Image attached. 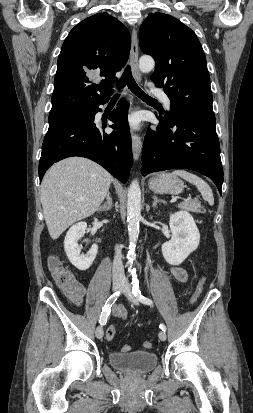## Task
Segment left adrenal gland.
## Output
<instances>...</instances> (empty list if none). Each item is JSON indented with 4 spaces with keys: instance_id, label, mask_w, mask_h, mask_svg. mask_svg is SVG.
<instances>
[{
    "instance_id": "obj_1",
    "label": "left adrenal gland",
    "mask_w": 253,
    "mask_h": 413,
    "mask_svg": "<svg viewBox=\"0 0 253 413\" xmlns=\"http://www.w3.org/2000/svg\"><path fill=\"white\" fill-rule=\"evenodd\" d=\"M159 202H161V203H163V204H166V201H165V200L158 199L157 196L154 195V196H153V204H152V207L155 208L156 205H157Z\"/></svg>"
}]
</instances>
